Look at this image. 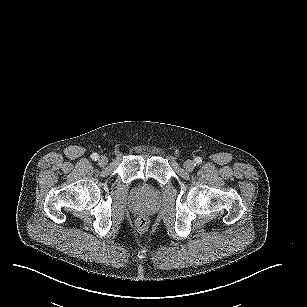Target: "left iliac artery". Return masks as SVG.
<instances>
[{"mask_svg":"<svg viewBox=\"0 0 307 307\" xmlns=\"http://www.w3.org/2000/svg\"><path fill=\"white\" fill-rule=\"evenodd\" d=\"M194 161H195V165H196V164L199 165V164L202 163V158H201V157H196V158L194 159Z\"/></svg>","mask_w":307,"mask_h":307,"instance_id":"obj_1","label":"left iliac artery"}]
</instances>
